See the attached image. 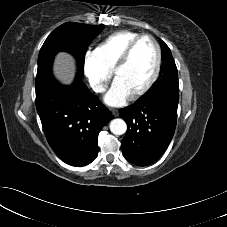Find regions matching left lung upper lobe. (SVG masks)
Segmentation results:
<instances>
[{"instance_id": "obj_1", "label": "left lung upper lobe", "mask_w": 227, "mask_h": 227, "mask_svg": "<svg viewBox=\"0 0 227 227\" xmlns=\"http://www.w3.org/2000/svg\"><path fill=\"white\" fill-rule=\"evenodd\" d=\"M161 55L163 61L160 68L159 78L138 100H143L158 93L179 97L177 67L172 57L171 51L164 41H161Z\"/></svg>"}]
</instances>
